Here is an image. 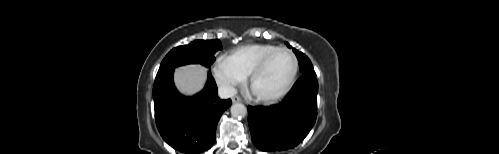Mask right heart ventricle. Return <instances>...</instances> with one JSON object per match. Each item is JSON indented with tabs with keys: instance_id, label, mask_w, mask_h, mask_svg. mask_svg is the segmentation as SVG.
I'll return each mask as SVG.
<instances>
[{
	"instance_id": "e07e8e85",
	"label": "right heart ventricle",
	"mask_w": 499,
	"mask_h": 154,
	"mask_svg": "<svg viewBox=\"0 0 499 154\" xmlns=\"http://www.w3.org/2000/svg\"><path fill=\"white\" fill-rule=\"evenodd\" d=\"M278 48L270 44H250L234 49L228 58L246 77L270 52Z\"/></svg>"
}]
</instances>
